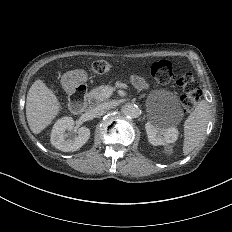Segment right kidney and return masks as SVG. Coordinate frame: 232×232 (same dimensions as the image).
<instances>
[{
  "label": "right kidney",
  "instance_id": "right-kidney-1",
  "mask_svg": "<svg viewBox=\"0 0 232 232\" xmlns=\"http://www.w3.org/2000/svg\"><path fill=\"white\" fill-rule=\"evenodd\" d=\"M90 130L86 127H81L74 131V120L72 117H62L58 119L51 132V144L63 151H77L89 139Z\"/></svg>",
  "mask_w": 232,
  "mask_h": 232
}]
</instances>
